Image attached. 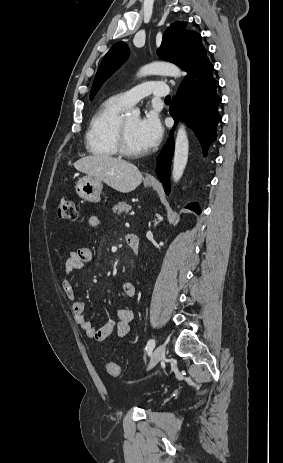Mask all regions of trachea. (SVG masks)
Listing matches in <instances>:
<instances>
[{"instance_id": "obj_1", "label": "trachea", "mask_w": 283, "mask_h": 463, "mask_svg": "<svg viewBox=\"0 0 283 463\" xmlns=\"http://www.w3.org/2000/svg\"><path fill=\"white\" fill-rule=\"evenodd\" d=\"M165 100H166V101H170V100H171V96H170V95L166 96Z\"/></svg>"}]
</instances>
